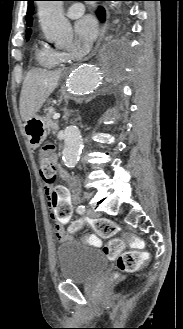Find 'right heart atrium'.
<instances>
[{"label": "right heart atrium", "instance_id": "right-heart-atrium-1", "mask_svg": "<svg viewBox=\"0 0 183 329\" xmlns=\"http://www.w3.org/2000/svg\"><path fill=\"white\" fill-rule=\"evenodd\" d=\"M82 53V49L79 47L77 50L75 51H72V52H62V58L64 60H67V59H72L74 57H77L79 56L80 54Z\"/></svg>", "mask_w": 183, "mask_h": 329}]
</instances>
